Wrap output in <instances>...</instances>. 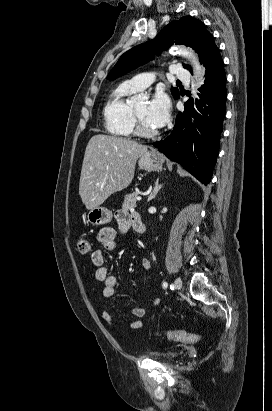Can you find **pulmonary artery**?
Here are the masks:
<instances>
[{"instance_id": "1", "label": "pulmonary artery", "mask_w": 272, "mask_h": 411, "mask_svg": "<svg viewBox=\"0 0 272 411\" xmlns=\"http://www.w3.org/2000/svg\"><path fill=\"white\" fill-rule=\"evenodd\" d=\"M174 76L183 81L190 80V72L180 65H175L173 70ZM154 81V76L151 73H143L134 76L131 78L128 83L135 89V90H144L149 87Z\"/></svg>"}]
</instances>
